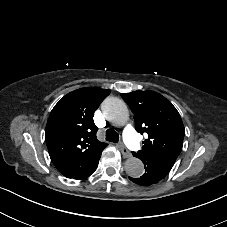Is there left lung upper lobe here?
Listing matches in <instances>:
<instances>
[{"label":"left lung upper lobe","instance_id":"1","mask_svg":"<svg viewBox=\"0 0 227 227\" xmlns=\"http://www.w3.org/2000/svg\"><path fill=\"white\" fill-rule=\"evenodd\" d=\"M121 96L134 113L135 129L148 134L142 150L133 152V156L142 160L146 168L166 176L183 146L185 129L179 112L154 91H134Z\"/></svg>","mask_w":227,"mask_h":227}]
</instances>
